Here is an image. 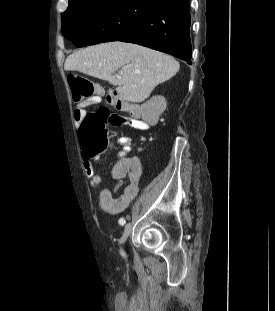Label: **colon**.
I'll use <instances>...</instances> for the list:
<instances>
[{
  "instance_id": "obj_1",
  "label": "colon",
  "mask_w": 275,
  "mask_h": 311,
  "mask_svg": "<svg viewBox=\"0 0 275 311\" xmlns=\"http://www.w3.org/2000/svg\"><path fill=\"white\" fill-rule=\"evenodd\" d=\"M68 82L72 89V100L74 103L100 104L101 98L96 97L101 94L94 83L78 74H69ZM109 96V95H108ZM116 101H121V97L113 94ZM124 116L113 112L107 107H102L96 112H88L84 116L80 125V139L84 150L90 155L101 154L111 147L108 126L123 125ZM146 121L153 122L154 119L148 117Z\"/></svg>"
}]
</instances>
